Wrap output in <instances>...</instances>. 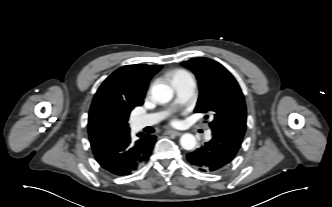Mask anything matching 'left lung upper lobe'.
I'll use <instances>...</instances> for the list:
<instances>
[{"label":"left lung upper lobe","mask_w":332,"mask_h":207,"mask_svg":"<svg viewBox=\"0 0 332 207\" xmlns=\"http://www.w3.org/2000/svg\"><path fill=\"white\" fill-rule=\"evenodd\" d=\"M181 64L193 71L198 80L200 94L194 112L213 114L214 119L209 123L212 130L243 137L246 130V105L233 75L220 63L204 57Z\"/></svg>","instance_id":"obj_1"}]
</instances>
